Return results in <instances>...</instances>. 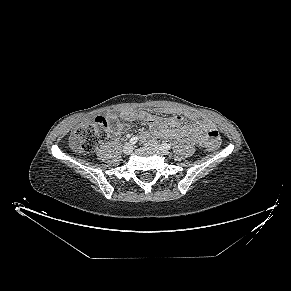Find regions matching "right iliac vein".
I'll return each instance as SVG.
<instances>
[{"label": "right iliac vein", "instance_id": "obj_1", "mask_svg": "<svg viewBox=\"0 0 291 291\" xmlns=\"http://www.w3.org/2000/svg\"><path fill=\"white\" fill-rule=\"evenodd\" d=\"M132 151H133V145L130 144V143L126 144V145L123 147V152H124L125 154H127V155L130 154Z\"/></svg>", "mask_w": 291, "mask_h": 291}]
</instances>
